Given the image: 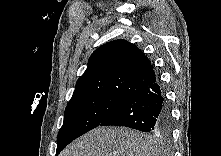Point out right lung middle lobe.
Wrapping results in <instances>:
<instances>
[{"instance_id": "obj_1", "label": "right lung middle lobe", "mask_w": 221, "mask_h": 156, "mask_svg": "<svg viewBox=\"0 0 221 156\" xmlns=\"http://www.w3.org/2000/svg\"><path fill=\"white\" fill-rule=\"evenodd\" d=\"M127 99L122 96L92 95L70 100L57 136L56 155L74 139L99 126Z\"/></svg>"}]
</instances>
